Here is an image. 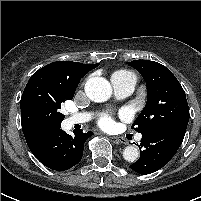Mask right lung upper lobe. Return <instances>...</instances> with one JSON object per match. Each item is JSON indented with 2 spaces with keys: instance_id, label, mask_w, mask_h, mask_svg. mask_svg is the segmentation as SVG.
Returning <instances> with one entry per match:
<instances>
[{
  "instance_id": "obj_1",
  "label": "right lung upper lobe",
  "mask_w": 201,
  "mask_h": 201,
  "mask_svg": "<svg viewBox=\"0 0 201 201\" xmlns=\"http://www.w3.org/2000/svg\"><path fill=\"white\" fill-rule=\"evenodd\" d=\"M98 65L99 63L90 65L72 61H57L44 66L41 70L78 86L80 79L85 76L88 71L96 68ZM22 130L25 139L28 140L45 130V128L22 123Z\"/></svg>"
}]
</instances>
